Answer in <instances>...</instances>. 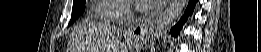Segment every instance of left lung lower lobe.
I'll return each mask as SVG.
<instances>
[{
    "label": "left lung lower lobe",
    "instance_id": "obj_1",
    "mask_svg": "<svg viewBox=\"0 0 261 52\" xmlns=\"http://www.w3.org/2000/svg\"><path fill=\"white\" fill-rule=\"evenodd\" d=\"M196 2H197V0H189V4L187 6V9L185 11L184 16L181 18L179 23L171 29V34L174 37L178 35V33L181 30L183 24L186 22L188 16L193 13V10H194Z\"/></svg>",
    "mask_w": 261,
    "mask_h": 52
}]
</instances>
